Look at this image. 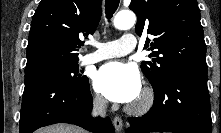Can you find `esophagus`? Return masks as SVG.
<instances>
[{"mask_svg": "<svg viewBox=\"0 0 221 133\" xmlns=\"http://www.w3.org/2000/svg\"><path fill=\"white\" fill-rule=\"evenodd\" d=\"M113 125L117 132H121L123 129V121L120 117L115 116L113 120Z\"/></svg>", "mask_w": 221, "mask_h": 133, "instance_id": "esophagus-1", "label": "esophagus"}]
</instances>
